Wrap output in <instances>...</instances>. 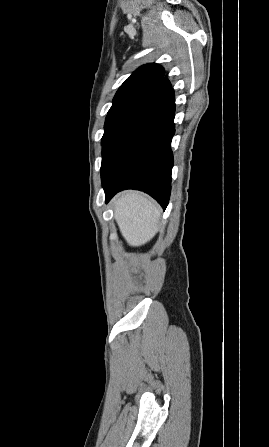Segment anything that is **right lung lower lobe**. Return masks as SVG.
I'll return each instance as SVG.
<instances>
[{
  "label": "right lung lower lobe",
  "instance_id": "right-lung-lower-lobe-1",
  "mask_svg": "<svg viewBox=\"0 0 269 447\" xmlns=\"http://www.w3.org/2000/svg\"><path fill=\"white\" fill-rule=\"evenodd\" d=\"M174 90L128 114L108 137L101 165L106 203L119 191L137 189L151 195L165 210L171 191L175 132Z\"/></svg>",
  "mask_w": 269,
  "mask_h": 447
}]
</instances>
